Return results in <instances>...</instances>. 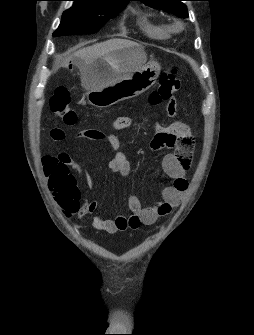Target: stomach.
<instances>
[{"label":"stomach","mask_w":254,"mask_h":335,"mask_svg":"<svg viewBox=\"0 0 254 335\" xmlns=\"http://www.w3.org/2000/svg\"><path fill=\"white\" fill-rule=\"evenodd\" d=\"M160 70L157 62L146 63L142 46L119 49L97 59L86 72L87 100L97 108H106L136 97L155 84ZM119 76L122 78L117 79Z\"/></svg>","instance_id":"1"}]
</instances>
